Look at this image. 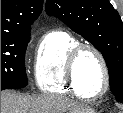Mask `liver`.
<instances>
[{
  "label": "liver",
  "instance_id": "6515ba94",
  "mask_svg": "<svg viewBox=\"0 0 123 113\" xmlns=\"http://www.w3.org/2000/svg\"><path fill=\"white\" fill-rule=\"evenodd\" d=\"M79 104L59 95H25L1 91V113H64L77 112Z\"/></svg>",
  "mask_w": 123,
  "mask_h": 113
}]
</instances>
